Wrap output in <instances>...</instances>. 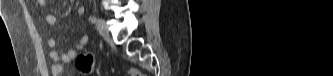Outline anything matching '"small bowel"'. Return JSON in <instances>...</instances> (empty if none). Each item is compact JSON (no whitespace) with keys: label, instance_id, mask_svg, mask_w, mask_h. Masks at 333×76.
Instances as JSON below:
<instances>
[{"label":"small bowel","instance_id":"small-bowel-1","mask_svg":"<svg viewBox=\"0 0 333 76\" xmlns=\"http://www.w3.org/2000/svg\"><path fill=\"white\" fill-rule=\"evenodd\" d=\"M36 2L40 7H45L47 5L46 0H37ZM84 12H85V9L82 6L77 9L78 15H83ZM45 20L50 25H55L57 22L56 17L52 14L46 15ZM88 41H89L88 35L83 34L79 38V40L74 48L69 49L68 51H66L64 53H61L57 50V41L54 39H49L47 42V45L49 48V57L53 62V65H52L53 76H61L63 73L62 63L72 62L74 60V58L76 57L78 51L82 50L86 46Z\"/></svg>","mask_w":333,"mask_h":76}]
</instances>
